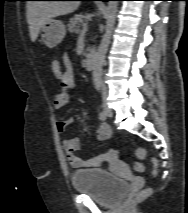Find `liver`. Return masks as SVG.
Returning <instances> with one entry per match:
<instances>
[{
    "mask_svg": "<svg viewBox=\"0 0 188 213\" xmlns=\"http://www.w3.org/2000/svg\"><path fill=\"white\" fill-rule=\"evenodd\" d=\"M79 4L78 1H29L26 8L31 41H36L41 27L46 22L75 11Z\"/></svg>",
    "mask_w": 188,
    "mask_h": 213,
    "instance_id": "liver-1",
    "label": "liver"
}]
</instances>
